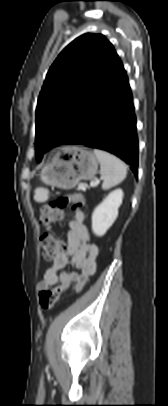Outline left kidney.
<instances>
[{"label":"left kidney","instance_id":"obj_1","mask_svg":"<svg viewBox=\"0 0 168 406\" xmlns=\"http://www.w3.org/2000/svg\"><path fill=\"white\" fill-rule=\"evenodd\" d=\"M123 191L116 189L94 209L92 214V230L97 236H103L112 226L118 216L122 204Z\"/></svg>","mask_w":168,"mask_h":406}]
</instances>
